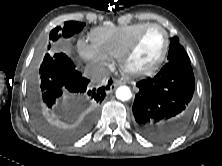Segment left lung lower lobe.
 I'll return each instance as SVG.
<instances>
[{
	"label": "left lung lower lobe",
	"instance_id": "1",
	"mask_svg": "<svg viewBox=\"0 0 222 166\" xmlns=\"http://www.w3.org/2000/svg\"><path fill=\"white\" fill-rule=\"evenodd\" d=\"M194 82L188 61L168 62L155 77L139 81L133 103L137 130L159 143L182 134L190 120Z\"/></svg>",
	"mask_w": 222,
	"mask_h": 166
}]
</instances>
